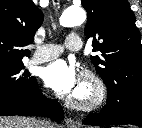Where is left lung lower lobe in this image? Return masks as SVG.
Instances as JSON below:
<instances>
[{"instance_id": "obj_1", "label": "left lung lower lobe", "mask_w": 142, "mask_h": 128, "mask_svg": "<svg viewBox=\"0 0 142 128\" xmlns=\"http://www.w3.org/2000/svg\"><path fill=\"white\" fill-rule=\"evenodd\" d=\"M85 125H136L142 127V98H133L118 105H106L100 113L89 114Z\"/></svg>"}]
</instances>
